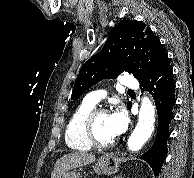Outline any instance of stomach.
<instances>
[{
  "label": "stomach",
  "instance_id": "0dacf381",
  "mask_svg": "<svg viewBox=\"0 0 194 178\" xmlns=\"http://www.w3.org/2000/svg\"><path fill=\"white\" fill-rule=\"evenodd\" d=\"M120 159L112 154H103L93 166V169L98 174L111 175L118 172L120 167ZM58 178H79L77 172H65Z\"/></svg>",
  "mask_w": 194,
  "mask_h": 178
}]
</instances>
